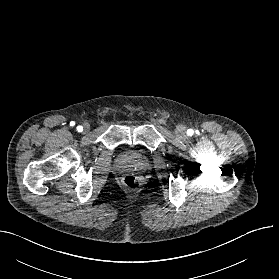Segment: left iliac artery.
<instances>
[{
    "label": "left iliac artery",
    "mask_w": 279,
    "mask_h": 279,
    "mask_svg": "<svg viewBox=\"0 0 279 279\" xmlns=\"http://www.w3.org/2000/svg\"><path fill=\"white\" fill-rule=\"evenodd\" d=\"M193 133H194V131H193L192 129H188V130H187V134H188V135L191 136V135H193Z\"/></svg>",
    "instance_id": "44dca946"
}]
</instances>
